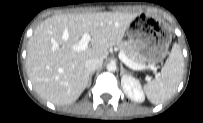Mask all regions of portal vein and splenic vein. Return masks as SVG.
<instances>
[{
  "label": "portal vein and splenic vein",
  "mask_w": 203,
  "mask_h": 123,
  "mask_svg": "<svg viewBox=\"0 0 203 123\" xmlns=\"http://www.w3.org/2000/svg\"><path fill=\"white\" fill-rule=\"evenodd\" d=\"M90 41H91V36L88 33H84L80 41L74 46V49L76 51H84L88 48V44ZM118 57L126 66H128L131 69L143 70L146 68L145 65L132 62L130 59L127 58V56L123 52H119ZM149 68L155 71L154 67L150 66Z\"/></svg>",
  "instance_id": "portal-vein-and-splenic-vein-1"
}]
</instances>
